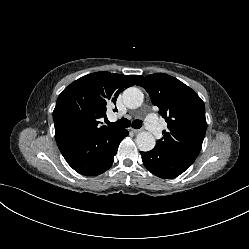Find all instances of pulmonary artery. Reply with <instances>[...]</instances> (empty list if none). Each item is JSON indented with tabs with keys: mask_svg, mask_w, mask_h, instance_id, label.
<instances>
[{
	"mask_svg": "<svg viewBox=\"0 0 249 249\" xmlns=\"http://www.w3.org/2000/svg\"><path fill=\"white\" fill-rule=\"evenodd\" d=\"M145 126L156 138L161 137L162 130L156 115L149 114L145 119Z\"/></svg>",
	"mask_w": 249,
	"mask_h": 249,
	"instance_id": "e3ab8cb5",
	"label": "pulmonary artery"
}]
</instances>
